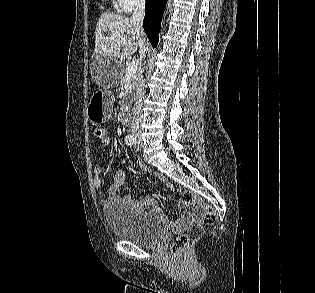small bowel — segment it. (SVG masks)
I'll use <instances>...</instances> for the list:
<instances>
[{
	"label": "small bowel",
	"mask_w": 315,
	"mask_h": 293,
	"mask_svg": "<svg viewBox=\"0 0 315 293\" xmlns=\"http://www.w3.org/2000/svg\"><path fill=\"white\" fill-rule=\"evenodd\" d=\"M101 144L104 148H109L111 145V139L108 136H106L105 138L101 139ZM134 164L141 169H145V165L139 157L134 158ZM100 174L101 167L97 165L93 169V185L96 190H99L102 186V179ZM154 176L161 183L168 184L167 179L162 174L155 173ZM125 177L126 171L124 169H119L116 172L113 180L111 181L108 187L107 197L103 198L100 201L102 206L107 207L116 202L130 203L136 207L141 208L142 210L154 212V215L159 222L164 223L176 230H189L190 226L196 221L197 219L196 211H185L174 224L170 223L167 220L166 216L157 208V202L155 198L152 196H146L140 200H133L127 194L123 196H118L117 191L121 184L123 183ZM178 206L180 208H185L188 205H185L180 201L178 203Z\"/></svg>",
	"instance_id": "c3829d8e"
}]
</instances>
